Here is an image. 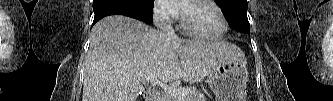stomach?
I'll list each match as a JSON object with an SVG mask.
<instances>
[{
	"label": "stomach",
	"instance_id": "stomach-1",
	"mask_svg": "<svg viewBox=\"0 0 333 101\" xmlns=\"http://www.w3.org/2000/svg\"><path fill=\"white\" fill-rule=\"evenodd\" d=\"M247 73L245 55L236 47L231 58L207 76V83L217 101H245Z\"/></svg>",
	"mask_w": 333,
	"mask_h": 101
}]
</instances>
